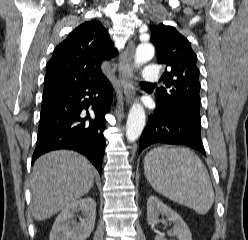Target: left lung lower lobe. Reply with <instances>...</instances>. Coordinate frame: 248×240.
<instances>
[{
    "mask_svg": "<svg viewBox=\"0 0 248 240\" xmlns=\"http://www.w3.org/2000/svg\"><path fill=\"white\" fill-rule=\"evenodd\" d=\"M153 144L191 147L206 155L201 139L200 114L195 111H170L157 106L140 137L139 153Z\"/></svg>",
    "mask_w": 248,
    "mask_h": 240,
    "instance_id": "obj_1",
    "label": "left lung lower lobe"
}]
</instances>
